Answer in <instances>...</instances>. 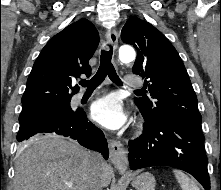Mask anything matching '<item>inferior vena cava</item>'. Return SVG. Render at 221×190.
Here are the masks:
<instances>
[{
	"instance_id": "inferior-vena-cava-1",
	"label": "inferior vena cava",
	"mask_w": 221,
	"mask_h": 190,
	"mask_svg": "<svg viewBox=\"0 0 221 190\" xmlns=\"http://www.w3.org/2000/svg\"><path fill=\"white\" fill-rule=\"evenodd\" d=\"M105 162L101 155L91 153L89 159V177L86 189L87 190H102V170Z\"/></svg>"
}]
</instances>
